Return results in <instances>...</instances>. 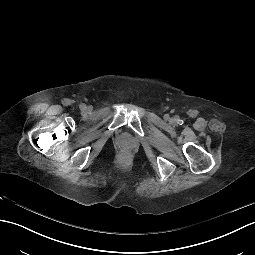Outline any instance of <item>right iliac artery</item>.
<instances>
[{"mask_svg": "<svg viewBox=\"0 0 255 255\" xmlns=\"http://www.w3.org/2000/svg\"><path fill=\"white\" fill-rule=\"evenodd\" d=\"M80 108H81V109H85V105H84V104H81V105H80Z\"/></svg>", "mask_w": 255, "mask_h": 255, "instance_id": "right-iliac-artery-1", "label": "right iliac artery"}]
</instances>
